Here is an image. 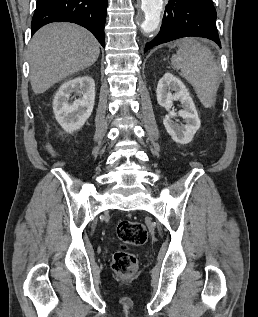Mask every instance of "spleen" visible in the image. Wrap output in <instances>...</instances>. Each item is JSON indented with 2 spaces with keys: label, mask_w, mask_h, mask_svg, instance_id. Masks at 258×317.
<instances>
[{
  "label": "spleen",
  "mask_w": 258,
  "mask_h": 317,
  "mask_svg": "<svg viewBox=\"0 0 258 317\" xmlns=\"http://www.w3.org/2000/svg\"><path fill=\"white\" fill-rule=\"evenodd\" d=\"M180 48L173 54L174 68H181V74L194 86V90L206 108L213 106L220 84L214 56L202 42L195 38H184L177 42Z\"/></svg>",
  "instance_id": "spleen-1"
}]
</instances>
